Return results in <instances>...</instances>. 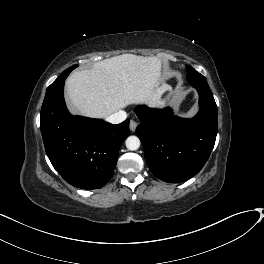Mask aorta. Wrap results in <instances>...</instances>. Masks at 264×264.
<instances>
[{"label": "aorta", "mask_w": 264, "mask_h": 264, "mask_svg": "<svg viewBox=\"0 0 264 264\" xmlns=\"http://www.w3.org/2000/svg\"><path fill=\"white\" fill-rule=\"evenodd\" d=\"M125 144L128 150L135 151L140 147V140L137 136H129Z\"/></svg>", "instance_id": "obj_1"}]
</instances>
